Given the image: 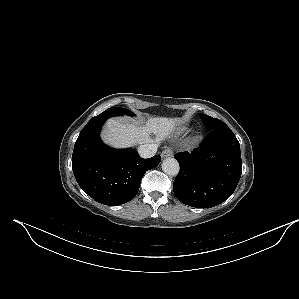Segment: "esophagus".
<instances>
[{"instance_id": "1", "label": "esophagus", "mask_w": 299, "mask_h": 299, "mask_svg": "<svg viewBox=\"0 0 299 299\" xmlns=\"http://www.w3.org/2000/svg\"><path fill=\"white\" fill-rule=\"evenodd\" d=\"M173 154V151L170 147H167L166 149H164L161 153V157L162 158H167V157H171Z\"/></svg>"}]
</instances>
